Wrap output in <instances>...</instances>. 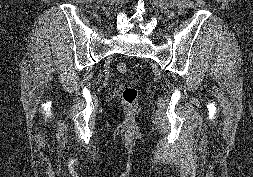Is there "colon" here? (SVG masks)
<instances>
[{
	"instance_id": "colon-1",
	"label": "colon",
	"mask_w": 253,
	"mask_h": 177,
	"mask_svg": "<svg viewBox=\"0 0 253 177\" xmlns=\"http://www.w3.org/2000/svg\"><path fill=\"white\" fill-rule=\"evenodd\" d=\"M117 70L121 74L128 72V66L125 63H118ZM139 92L137 88L133 86L126 87L122 92V100L126 108L135 109L137 106Z\"/></svg>"
}]
</instances>
